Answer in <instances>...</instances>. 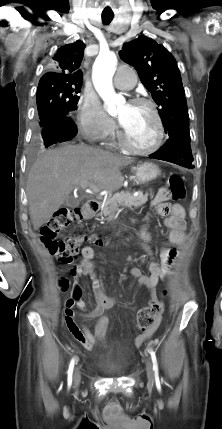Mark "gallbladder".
I'll list each match as a JSON object with an SVG mask.
<instances>
[{"label": "gallbladder", "instance_id": "obj_1", "mask_svg": "<svg viewBox=\"0 0 222 429\" xmlns=\"http://www.w3.org/2000/svg\"><path fill=\"white\" fill-rule=\"evenodd\" d=\"M80 204V199L79 198H75L73 196H69L65 202H64V206L66 207H77Z\"/></svg>", "mask_w": 222, "mask_h": 429}]
</instances>
